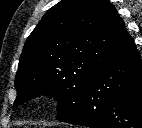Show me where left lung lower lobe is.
<instances>
[{
	"label": "left lung lower lobe",
	"instance_id": "obj_1",
	"mask_svg": "<svg viewBox=\"0 0 142 128\" xmlns=\"http://www.w3.org/2000/svg\"><path fill=\"white\" fill-rule=\"evenodd\" d=\"M60 122L142 128V62L132 39L88 81L75 109Z\"/></svg>",
	"mask_w": 142,
	"mask_h": 128
}]
</instances>
